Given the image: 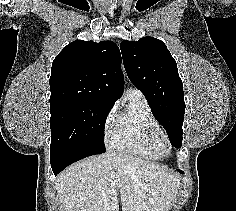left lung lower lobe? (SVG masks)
<instances>
[{
	"mask_svg": "<svg viewBox=\"0 0 236 211\" xmlns=\"http://www.w3.org/2000/svg\"><path fill=\"white\" fill-rule=\"evenodd\" d=\"M178 171H179L180 173H182V174L184 173V172H183V171H181V170H178Z\"/></svg>",
	"mask_w": 236,
	"mask_h": 211,
	"instance_id": "obj_1",
	"label": "left lung lower lobe"
}]
</instances>
